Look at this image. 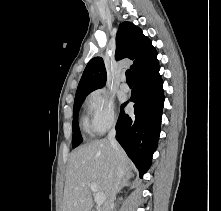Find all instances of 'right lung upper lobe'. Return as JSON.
Here are the masks:
<instances>
[{"label":"right lung upper lobe","instance_id":"1","mask_svg":"<svg viewBox=\"0 0 221 211\" xmlns=\"http://www.w3.org/2000/svg\"><path fill=\"white\" fill-rule=\"evenodd\" d=\"M117 60L129 58L134 63L130 67L133 77L158 64L157 52L142 30L131 22L120 24L116 36ZM106 82V69L101 57H95L87 64L79 82L75 98L88 95L102 88Z\"/></svg>","mask_w":221,"mask_h":211}]
</instances>
